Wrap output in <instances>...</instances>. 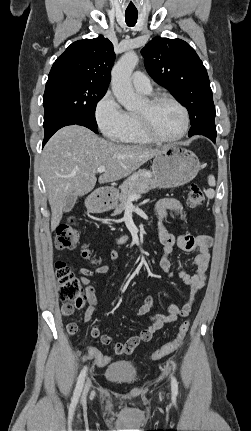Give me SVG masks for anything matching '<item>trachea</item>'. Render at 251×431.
<instances>
[{"instance_id":"1","label":"trachea","mask_w":251,"mask_h":431,"mask_svg":"<svg viewBox=\"0 0 251 431\" xmlns=\"http://www.w3.org/2000/svg\"><path fill=\"white\" fill-rule=\"evenodd\" d=\"M138 14L137 13H127L125 14V21L129 27H133L137 22Z\"/></svg>"}]
</instances>
